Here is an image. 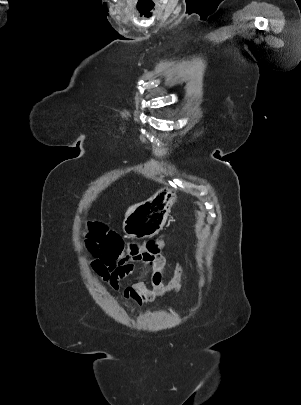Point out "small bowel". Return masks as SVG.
<instances>
[{"label":"small bowel","mask_w":301,"mask_h":405,"mask_svg":"<svg viewBox=\"0 0 301 405\" xmlns=\"http://www.w3.org/2000/svg\"><path fill=\"white\" fill-rule=\"evenodd\" d=\"M158 240L161 249L156 254L131 256L125 253L113 266L104 265L98 258H94L91 264L103 281L115 292L120 290L121 280L127 276L137 275V282L123 290V298L132 300L139 306L152 303L168 293L179 291L187 279L182 265L178 264L171 281L164 283L165 243L162 238ZM146 277L150 278V283L145 281Z\"/></svg>","instance_id":"small-bowel-1"}]
</instances>
